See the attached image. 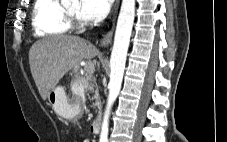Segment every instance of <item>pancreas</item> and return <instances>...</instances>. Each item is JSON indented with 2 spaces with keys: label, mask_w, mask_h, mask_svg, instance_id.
<instances>
[{
  "label": "pancreas",
  "mask_w": 227,
  "mask_h": 142,
  "mask_svg": "<svg viewBox=\"0 0 227 142\" xmlns=\"http://www.w3.org/2000/svg\"><path fill=\"white\" fill-rule=\"evenodd\" d=\"M86 77L90 81L91 88H94V87L96 88L95 90L93 89L94 95L92 96V99L95 100V103H93V106H96L98 108V110H99L101 108V102H100V97H99V94H98L96 80L91 74L87 75ZM77 79L79 81H81L80 77H78Z\"/></svg>",
  "instance_id": "cf45deb5"
}]
</instances>
